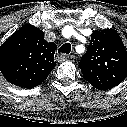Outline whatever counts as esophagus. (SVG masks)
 <instances>
[{"label":"esophagus","instance_id":"esophagus-1","mask_svg":"<svg viewBox=\"0 0 127 127\" xmlns=\"http://www.w3.org/2000/svg\"><path fill=\"white\" fill-rule=\"evenodd\" d=\"M57 61L58 62H63V61H66L69 59V56L66 55V54H58L57 57H56Z\"/></svg>","mask_w":127,"mask_h":127}]
</instances>
